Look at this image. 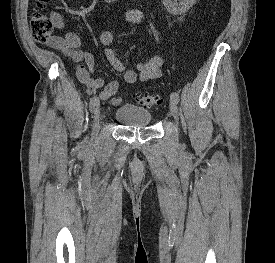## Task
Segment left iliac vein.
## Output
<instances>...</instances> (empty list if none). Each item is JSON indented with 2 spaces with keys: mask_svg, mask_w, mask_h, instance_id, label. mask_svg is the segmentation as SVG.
Returning a JSON list of instances; mask_svg holds the SVG:
<instances>
[{
  "mask_svg": "<svg viewBox=\"0 0 275 263\" xmlns=\"http://www.w3.org/2000/svg\"><path fill=\"white\" fill-rule=\"evenodd\" d=\"M169 108H170L171 115L177 121L178 120V107H177L176 103L171 101Z\"/></svg>",
  "mask_w": 275,
  "mask_h": 263,
  "instance_id": "4c4485c4",
  "label": "left iliac vein"
}]
</instances>
